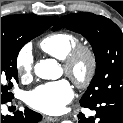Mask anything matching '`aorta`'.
<instances>
[{
    "mask_svg": "<svg viewBox=\"0 0 123 123\" xmlns=\"http://www.w3.org/2000/svg\"><path fill=\"white\" fill-rule=\"evenodd\" d=\"M58 64L54 59H44L38 62L34 67L35 74L42 79H56L58 78ZM61 123H73L69 120L62 121Z\"/></svg>",
    "mask_w": 123,
    "mask_h": 123,
    "instance_id": "aorta-1",
    "label": "aorta"
}]
</instances>
